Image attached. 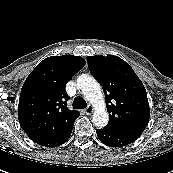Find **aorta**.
Instances as JSON below:
<instances>
[{
	"label": "aorta",
	"mask_w": 173,
	"mask_h": 173,
	"mask_svg": "<svg viewBox=\"0 0 173 173\" xmlns=\"http://www.w3.org/2000/svg\"><path fill=\"white\" fill-rule=\"evenodd\" d=\"M77 83L94 108L92 122L98 127L105 126L108 123L109 115L106 111L105 99L100 85L88 74H81L77 79Z\"/></svg>",
	"instance_id": "1"
}]
</instances>
